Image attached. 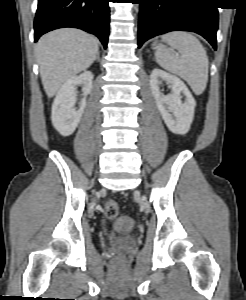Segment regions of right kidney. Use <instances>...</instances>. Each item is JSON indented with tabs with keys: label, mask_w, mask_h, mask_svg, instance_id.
<instances>
[{
	"label": "right kidney",
	"mask_w": 246,
	"mask_h": 300,
	"mask_svg": "<svg viewBox=\"0 0 246 300\" xmlns=\"http://www.w3.org/2000/svg\"><path fill=\"white\" fill-rule=\"evenodd\" d=\"M93 74L84 71L78 76L69 78L58 91L53 105L51 120L54 128L62 135L69 136L78 127L84 108L86 97L92 91ZM82 85L84 98L78 109L75 108L77 86Z\"/></svg>",
	"instance_id": "ca27d5eb"
}]
</instances>
